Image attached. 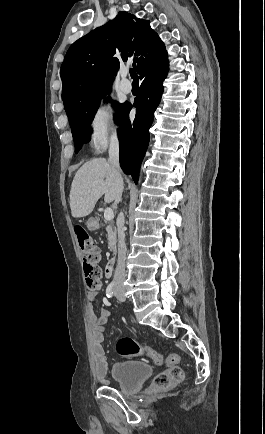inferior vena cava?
I'll return each instance as SVG.
<instances>
[{"label": "inferior vena cava", "instance_id": "602c4592", "mask_svg": "<svg viewBox=\"0 0 265 434\" xmlns=\"http://www.w3.org/2000/svg\"><path fill=\"white\" fill-rule=\"evenodd\" d=\"M109 162L119 170V142L116 138H111L109 146ZM125 228L124 224L118 226V262L116 272L114 274V284L118 286L125 280V260H126V244H125Z\"/></svg>", "mask_w": 265, "mask_h": 434}]
</instances>
